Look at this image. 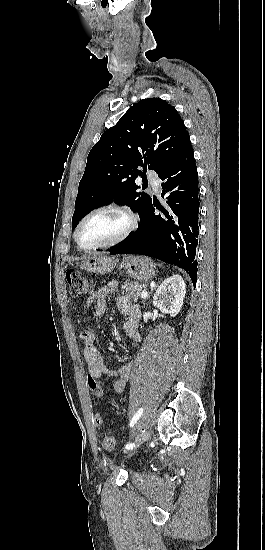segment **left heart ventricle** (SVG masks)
Instances as JSON below:
<instances>
[{"label":"left heart ventricle","instance_id":"b2bd125f","mask_svg":"<svg viewBox=\"0 0 265 550\" xmlns=\"http://www.w3.org/2000/svg\"><path fill=\"white\" fill-rule=\"evenodd\" d=\"M127 218L113 210H104L90 216L81 226L78 239L85 247L109 242L127 227Z\"/></svg>","mask_w":265,"mask_h":550}]
</instances>
